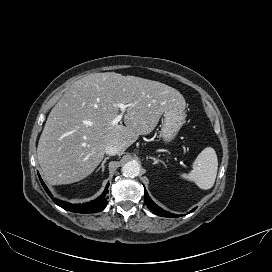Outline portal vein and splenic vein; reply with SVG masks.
Returning a JSON list of instances; mask_svg holds the SVG:
<instances>
[{
    "label": "portal vein and splenic vein",
    "mask_w": 272,
    "mask_h": 272,
    "mask_svg": "<svg viewBox=\"0 0 272 272\" xmlns=\"http://www.w3.org/2000/svg\"><path fill=\"white\" fill-rule=\"evenodd\" d=\"M117 106L120 108L121 114L117 115V116L111 121V125H112V126L118 125V123L122 120L123 114L125 113L126 109H127L128 107L132 106V104L118 103Z\"/></svg>",
    "instance_id": "portal-vein-and-splenic-vein-1"
}]
</instances>
